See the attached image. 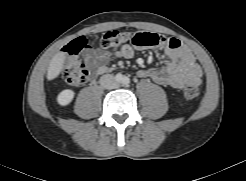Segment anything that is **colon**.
<instances>
[{
  "label": "colon",
  "mask_w": 246,
  "mask_h": 181,
  "mask_svg": "<svg viewBox=\"0 0 246 181\" xmlns=\"http://www.w3.org/2000/svg\"><path fill=\"white\" fill-rule=\"evenodd\" d=\"M131 43L138 48H153L171 44L170 38L153 32L131 33L123 30H111L106 32L99 40L103 48H115ZM84 36H79L69 43L65 48V58L62 64L61 73L66 82L73 86H81L88 82L89 72L86 65L80 59L79 54L87 47ZM200 89L195 84L187 85L184 89V96L188 100L197 99Z\"/></svg>",
  "instance_id": "5ec220e1"
}]
</instances>
